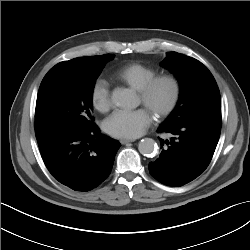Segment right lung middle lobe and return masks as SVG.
<instances>
[{
	"instance_id": "1",
	"label": "right lung middle lobe",
	"mask_w": 250,
	"mask_h": 250,
	"mask_svg": "<svg viewBox=\"0 0 250 250\" xmlns=\"http://www.w3.org/2000/svg\"><path fill=\"white\" fill-rule=\"evenodd\" d=\"M115 55L99 56L89 67L62 72L42 82L35 110L36 138L93 129L92 94L96 79Z\"/></svg>"
}]
</instances>
